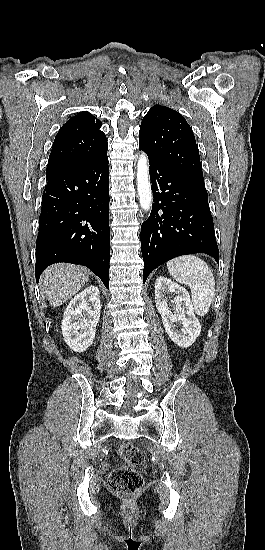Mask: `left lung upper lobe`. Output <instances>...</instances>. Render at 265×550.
<instances>
[{"label": "left lung upper lobe", "instance_id": "1", "mask_svg": "<svg viewBox=\"0 0 265 550\" xmlns=\"http://www.w3.org/2000/svg\"><path fill=\"white\" fill-rule=\"evenodd\" d=\"M139 148L205 185L192 129L173 109L161 105L150 108L141 122Z\"/></svg>", "mask_w": 265, "mask_h": 550}]
</instances>
